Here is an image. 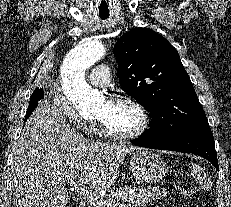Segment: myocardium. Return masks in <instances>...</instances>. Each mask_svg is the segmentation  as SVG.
Returning a JSON list of instances; mask_svg holds the SVG:
<instances>
[{
  "mask_svg": "<svg viewBox=\"0 0 231 207\" xmlns=\"http://www.w3.org/2000/svg\"><path fill=\"white\" fill-rule=\"evenodd\" d=\"M113 103H124L133 107L140 117L139 127L130 133H116L110 130L104 122L99 119V125L103 135L116 141H130L141 137L147 132L150 126V116L147 109L136 99L127 95H118L113 99Z\"/></svg>",
  "mask_w": 231,
  "mask_h": 207,
  "instance_id": "myocardium-1",
  "label": "myocardium"
}]
</instances>
